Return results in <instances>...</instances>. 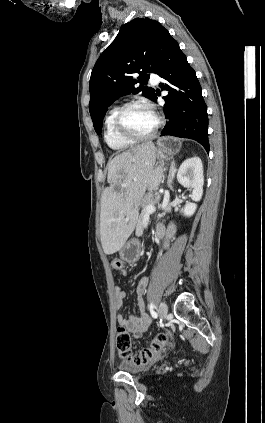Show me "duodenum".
I'll return each instance as SVG.
<instances>
[{
  "label": "duodenum",
  "mask_w": 265,
  "mask_h": 423,
  "mask_svg": "<svg viewBox=\"0 0 265 423\" xmlns=\"http://www.w3.org/2000/svg\"><path fill=\"white\" fill-rule=\"evenodd\" d=\"M156 235L158 238H163L165 236V230L164 229H158L156 231Z\"/></svg>",
  "instance_id": "410a0bca"
}]
</instances>
